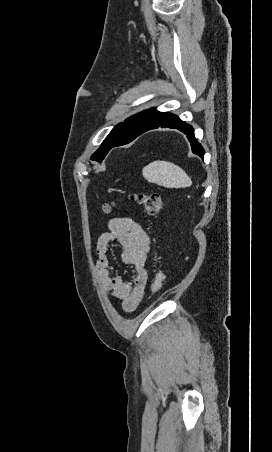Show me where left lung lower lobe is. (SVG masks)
Listing matches in <instances>:
<instances>
[{
	"mask_svg": "<svg viewBox=\"0 0 272 452\" xmlns=\"http://www.w3.org/2000/svg\"><path fill=\"white\" fill-rule=\"evenodd\" d=\"M159 127L178 129L179 131L186 134L187 138L191 144L192 152L194 154L198 155L199 157L203 158L204 149L201 146V144L198 143L197 139L195 138L194 130H193L192 126H190L189 124L180 120V118L178 116L171 114V113H165V112H160V114L156 117L154 122L146 130L140 132L138 135L133 136L131 138H121V139L113 142L112 147L125 145V144L133 141L137 136L143 134L144 132L155 129V128H159Z\"/></svg>",
	"mask_w": 272,
	"mask_h": 452,
	"instance_id": "0a47b994",
	"label": "left lung lower lobe"
}]
</instances>
